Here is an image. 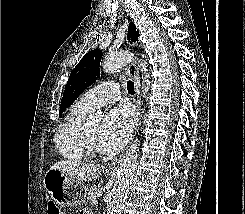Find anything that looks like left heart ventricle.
I'll return each mask as SVG.
<instances>
[{
  "label": "left heart ventricle",
  "mask_w": 245,
  "mask_h": 214,
  "mask_svg": "<svg viewBox=\"0 0 245 214\" xmlns=\"http://www.w3.org/2000/svg\"><path fill=\"white\" fill-rule=\"evenodd\" d=\"M99 126L98 125H86V131L89 136L91 142L99 148L97 143V134H98Z\"/></svg>",
  "instance_id": "1"
}]
</instances>
